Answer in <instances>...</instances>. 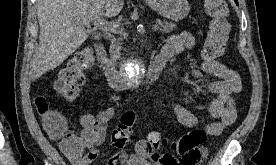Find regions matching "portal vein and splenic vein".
Returning a JSON list of instances; mask_svg holds the SVG:
<instances>
[{"label":"portal vein and splenic vein","mask_w":276,"mask_h":165,"mask_svg":"<svg viewBox=\"0 0 276 165\" xmlns=\"http://www.w3.org/2000/svg\"><path fill=\"white\" fill-rule=\"evenodd\" d=\"M93 24L96 28L103 30V31H110L113 33H118V34L122 33L118 24L110 23V22L106 21L105 19L101 18L99 15L94 18ZM87 25H89V23ZM158 29H159V27L157 24L152 26V30L156 31Z\"/></svg>","instance_id":"portal-vein-and-splenic-vein-1"}]
</instances>
